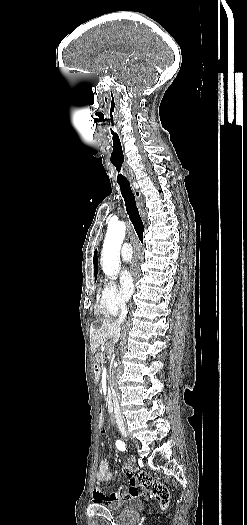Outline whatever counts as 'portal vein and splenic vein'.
Here are the masks:
<instances>
[{
  "label": "portal vein and splenic vein",
  "mask_w": 247,
  "mask_h": 525,
  "mask_svg": "<svg viewBox=\"0 0 247 525\" xmlns=\"http://www.w3.org/2000/svg\"><path fill=\"white\" fill-rule=\"evenodd\" d=\"M105 364H99V370H104Z\"/></svg>",
  "instance_id": "18ae733b"
}]
</instances>
